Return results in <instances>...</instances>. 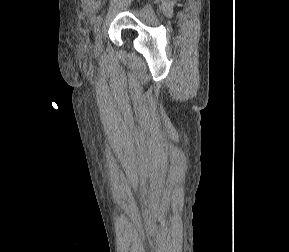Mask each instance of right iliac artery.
<instances>
[{
  "mask_svg": "<svg viewBox=\"0 0 289 252\" xmlns=\"http://www.w3.org/2000/svg\"><path fill=\"white\" fill-rule=\"evenodd\" d=\"M101 22H102V16H101V15L97 16V17L94 19L93 23H94V31H95V32L98 31L99 26L101 25Z\"/></svg>",
  "mask_w": 289,
  "mask_h": 252,
  "instance_id": "right-iliac-artery-1",
  "label": "right iliac artery"
}]
</instances>
